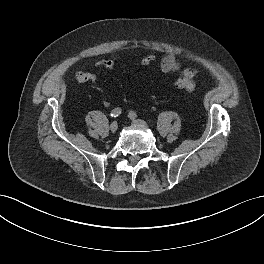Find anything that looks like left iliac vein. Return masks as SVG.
Here are the masks:
<instances>
[{
	"label": "left iliac vein",
	"instance_id": "4c4485c4",
	"mask_svg": "<svg viewBox=\"0 0 264 264\" xmlns=\"http://www.w3.org/2000/svg\"><path fill=\"white\" fill-rule=\"evenodd\" d=\"M132 124L136 127H140V128H146L147 124L145 121L140 120V119H132Z\"/></svg>",
	"mask_w": 264,
	"mask_h": 264
}]
</instances>
